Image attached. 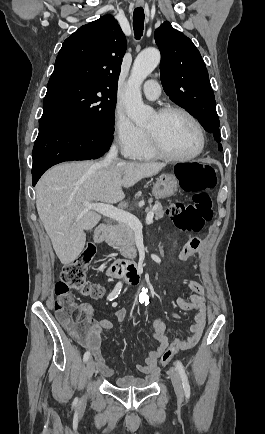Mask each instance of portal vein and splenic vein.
Masks as SVG:
<instances>
[{"instance_id": "18ae733b", "label": "portal vein and splenic vein", "mask_w": 265, "mask_h": 434, "mask_svg": "<svg viewBox=\"0 0 265 434\" xmlns=\"http://www.w3.org/2000/svg\"><path fill=\"white\" fill-rule=\"evenodd\" d=\"M83 206H85V210H95L98 214L112 218V220H117V222H126L133 230H142L143 228L140 220H138L136 216L129 214V212H124V210H117V208L110 206V204H100V202L91 204V202H83ZM153 216V212L147 214L146 224H152Z\"/></svg>"}]
</instances>
